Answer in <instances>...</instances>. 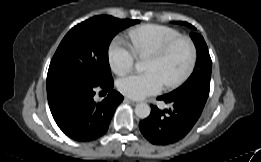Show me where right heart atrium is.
Instances as JSON below:
<instances>
[{"mask_svg": "<svg viewBox=\"0 0 261 162\" xmlns=\"http://www.w3.org/2000/svg\"><path fill=\"white\" fill-rule=\"evenodd\" d=\"M135 54L122 39L113 41L108 49L109 65L114 73L123 75L130 71L135 62Z\"/></svg>", "mask_w": 261, "mask_h": 162, "instance_id": "1", "label": "right heart atrium"}]
</instances>
